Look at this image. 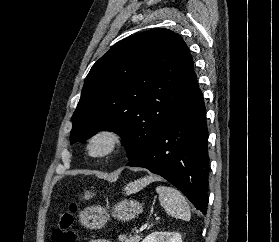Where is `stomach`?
I'll return each mask as SVG.
<instances>
[{"label": "stomach", "mask_w": 279, "mask_h": 242, "mask_svg": "<svg viewBox=\"0 0 279 242\" xmlns=\"http://www.w3.org/2000/svg\"><path fill=\"white\" fill-rule=\"evenodd\" d=\"M142 212V205L135 200H123L116 203L111 210L101 205H91L79 213V221L88 229H100L105 226L110 215L120 221H129Z\"/></svg>", "instance_id": "obj_1"}]
</instances>
